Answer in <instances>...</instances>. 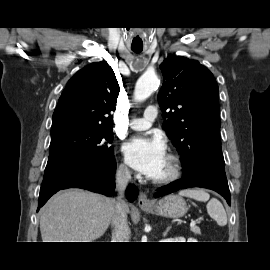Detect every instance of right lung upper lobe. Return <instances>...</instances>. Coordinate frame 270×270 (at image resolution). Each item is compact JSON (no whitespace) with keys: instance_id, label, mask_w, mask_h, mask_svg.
Instances as JSON below:
<instances>
[{"instance_id":"right-lung-upper-lobe-1","label":"right lung upper lobe","mask_w":270,"mask_h":270,"mask_svg":"<svg viewBox=\"0 0 270 270\" xmlns=\"http://www.w3.org/2000/svg\"><path fill=\"white\" fill-rule=\"evenodd\" d=\"M119 91L106 61L84 67L68 81L54 111L52 127L81 124L112 128L110 112L115 110Z\"/></svg>"}]
</instances>
